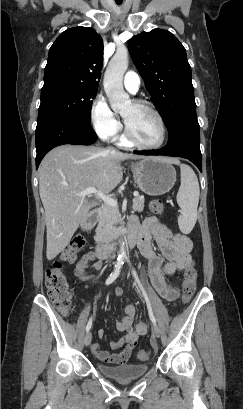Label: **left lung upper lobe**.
I'll use <instances>...</instances> for the list:
<instances>
[{
    "label": "left lung upper lobe",
    "instance_id": "1",
    "mask_svg": "<svg viewBox=\"0 0 243 409\" xmlns=\"http://www.w3.org/2000/svg\"><path fill=\"white\" fill-rule=\"evenodd\" d=\"M129 53L168 131L196 110L186 50L169 31L153 29L128 41Z\"/></svg>",
    "mask_w": 243,
    "mask_h": 409
}]
</instances>
